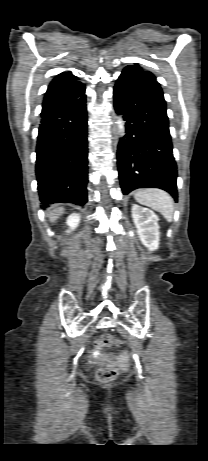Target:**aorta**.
<instances>
[{"mask_svg": "<svg viewBox=\"0 0 208 461\" xmlns=\"http://www.w3.org/2000/svg\"><path fill=\"white\" fill-rule=\"evenodd\" d=\"M117 124H118L120 135H124V123L120 117L117 120Z\"/></svg>", "mask_w": 208, "mask_h": 461, "instance_id": "obj_1", "label": "aorta"}]
</instances>
